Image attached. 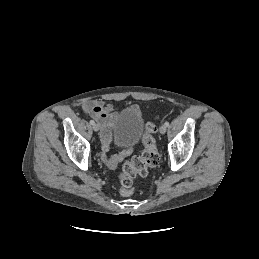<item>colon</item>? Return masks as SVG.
<instances>
[{"label": "colon", "instance_id": "5ec220e1", "mask_svg": "<svg viewBox=\"0 0 259 259\" xmlns=\"http://www.w3.org/2000/svg\"><path fill=\"white\" fill-rule=\"evenodd\" d=\"M156 131V125L149 122L146 125V134L143 138V152L139 156H134L129 161L125 162L120 174V194L124 197H129L134 193L133 180L137 176H145L149 168L158 165L160 156L156 147V142L153 138V133Z\"/></svg>", "mask_w": 259, "mask_h": 259}]
</instances>
